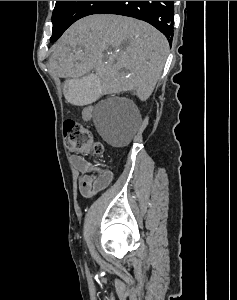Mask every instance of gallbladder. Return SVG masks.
Listing matches in <instances>:
<instances>
[{"label":"gallbladder","instance_id":"gallbladder-1","mask_svg":"<svg viewBox=\"0 0 237 300\" xmlns=\"http://www.w3.org/2000/svg\"><path fill=\"white\" fill-rule=\"evenodd\" d=\"M66 83L64 99L68 105H93L104 93L102 77L98 72H89L88 76H70Z\"/></svg>","mask_w":237,"mask_h":300}]
</instances>
